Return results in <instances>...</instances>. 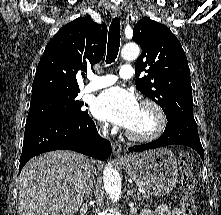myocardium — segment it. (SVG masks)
<instances>
[{
	"instance_id": "f54148a6",
	"label": "myocardium",
	"mask_w": 221,
	"mask_h": 215,
	"mask_svg": "<svg viewBox=\"0 0 221 215\" xmlns=\"http://www.w3.org/2000/svg\"><path fill=\"white\" fill-rule=\"evenodd\" d=\"M140 106L143 108H148L150 109L156 120V125L155 128L147 133V134H137L129 129L126 130V136L128 139L135 141V142H141V143H146V142H151L156 139H158L165 131L166 125H167V118L164 110L162 107L154 100L152 99H144L141 101Z\"/></svg>"
}]
</instances>
